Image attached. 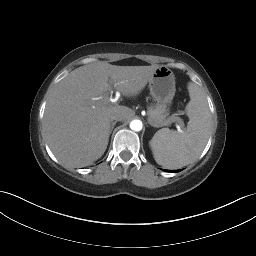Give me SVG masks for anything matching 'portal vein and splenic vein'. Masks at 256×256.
Returning a JSON list of instances; mask_svg holds the SVG:
<instances>
[{
    "label": "portal vein and splenic vein",
    "mask_w": 256,
    "mask_h": 256,
    "mask_svg": "<svg viewBox=\"0 0 256 256\" xmlns=\"http://www.w3.org/2000/svg\"><path fill=\"white\" fill-rule=\"evenodd\" d=\"M176 121L178 122V124L179 125H177V129H178V131L179 132H181L182 130H181V127L184 125V122H183V120L181 119V118H179V117H176ZM149 122V121H148ZM150 125H152V126H154V124H152V123H149ZM155 127V126H154Z\"/></svg>",
    "instance_id": "18ae733b"
}]
</instances>
